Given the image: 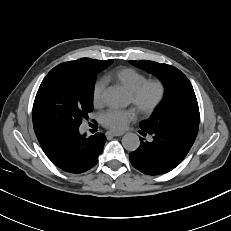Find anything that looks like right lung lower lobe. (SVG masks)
Listing matches in <instances>:
<instances>
[{
	"instance_id": "right-lung-lower-lobe-1",
	"label": "right lung lower lobe",
	"mask_w": 231,
	"mask_h": 231,
	"mask_svg": "<svg viewBox=\"0 0 231 231\" xmlns=\"http://www.w3.org/2000/svg\"><path fill=\"white\" fill-rule=\"evenodd\" d=\"M36 136L52 163L74 174L85 172L96 165L106 141L102 133L86 138L80 135L79 129H45Z\"/></svg>"
}]
</instances>
